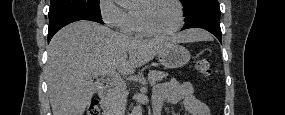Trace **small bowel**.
Instances as JSON below:
<instances>
[{"label":"small bowel","mask_w":285,"mask_h":115,"mask_svg":"<svg viewBox=\"0 0 285 115\" xmlns=\"http://www.w3.org/2000/svg\"><path fill=\"white\" fill-rule=\"evenodd\" d=\"M164 103L176 105L183 104L184 110L188 115H210V110L206 104L197 99L194 89L190 82H178L170 80L159 84L153 94V104L155 115L162 114Z\"/></svg>","instance_id":"c3829d8e"}]
</instances>
